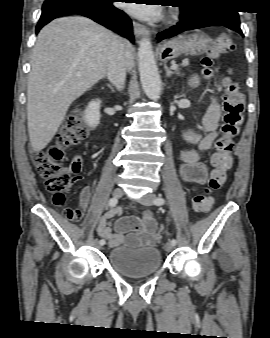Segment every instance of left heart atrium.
<instances>
[{"instance_id": "39dd6f15", "label": "left heart atrium", "mask_w": 270, "mask_h": 338, "mask_svg": "<svg viewBox=\"0 0 270 338\" xmlns=\"http://www.w3.org/2000/svg\"><path fill=\"white\" fill-rule=\"evenodd\" d=\"M125 9L137 17L147 20L156 19L160 15V8L158 5H139L137 3H126Z\"/></svg>"}]
</instances>
